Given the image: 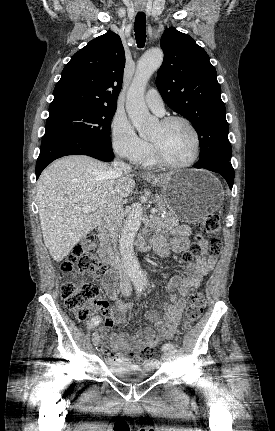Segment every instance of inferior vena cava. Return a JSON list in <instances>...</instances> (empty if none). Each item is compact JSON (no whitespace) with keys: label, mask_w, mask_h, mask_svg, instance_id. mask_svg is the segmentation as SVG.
I'll return each mask as SVG.
<instances>
[{"label":"inferior vena cava","mask_w":275,"mask_h":431,"mask_svg":"<svg viewBox=\"0 0 275 431\" xmlns=\"http://www.w3.org/2000/svg\"><path fill=\"white\" fill-rule=\"evenodd\" d=\"M113 169L115 173L120 176L123 172H129L131 171V168L129 165L121 161L119 158H116L113 161ZM122 198L119 196L114 197L110 203L108 204L107 209L105 210L104 219L107 223L108 232L111 238V241L114 245H116L119 231L121 227V212H122ZM112 266L119 272V278H120V289L123 291H131V282L128 276V273L123 265V262L121 261L119 257L118 251L114 250V256L112 260Z\"/></svg>","instance_id":"obj_1"}]
</instances>
